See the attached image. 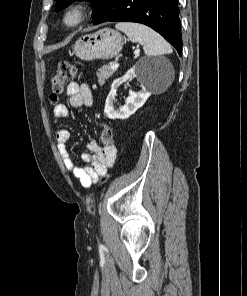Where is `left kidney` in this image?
<instances>
[{
  "label": "left kidney",
  "instance_id": "left-kidney-1",
  "mask_svg": "<svg viewBox=\"0 0 247 296\" xmlns=\"http://www.w3.org/2000/svg\"><path fill=\"white\" fill-rule=\"evenodd\" d=\"M165 60H148L140 59L136 65L131 68L123 77L116 79L112 86L111 91L107 96L104 114L109 119H127L134 114L140 107L144 105L146 100L151 96L152 92L149 91L152 81L162 71ZM168 67V64H165ZM137 78L140 82L142 91H130L129 97L125 101V105L119 109H114V99L117 88L129 79Z\"/></svg>",
  "mask_w": 247,
  "mask_h": 296
}]
</instances>
